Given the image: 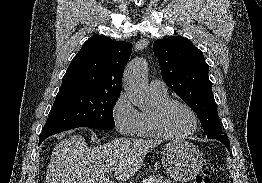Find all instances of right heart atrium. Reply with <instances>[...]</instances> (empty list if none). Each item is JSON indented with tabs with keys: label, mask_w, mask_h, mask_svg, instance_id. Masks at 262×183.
Here are the masks:
<instances>
[{
	"label": "right heart atrium",
	"mask_w": 262,
	"mask_h": 183,
	"mask_svg": "<svg viewBox=\"0 0 262 183\" xmlns=\"http://www.w3.org/2000/svg\"><path fill=\"white\" fill-rule=\"evenodd\" d=\"M111 117L117 132L124 136H132L136 133L139 112L134 108L125 93H121L115 100Z\"/></svg>",
	"instance_id": "obj_1"
}]
</instances>
